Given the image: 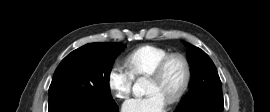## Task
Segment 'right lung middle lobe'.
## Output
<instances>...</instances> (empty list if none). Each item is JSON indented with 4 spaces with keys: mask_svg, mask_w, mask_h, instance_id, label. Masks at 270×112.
<instances>
[{
    "mask_svg": "<svg viewBox=\"0 0 270 112\" xmlns=\"http://www.w3.org/2000/svg\"><path fill=\"white\" fill-rule=\"evenodd\" d=\"M125 45L118 42L86 44L68 54L58 65L49 88V105L85 97L111 106L109 76L115 58Z\"/></svg>",
    "mask_w": 270,
    "mask_h": 112,
    "instance_id": "1",
    "label": "right lung middle lobe"
}]
</instances>
